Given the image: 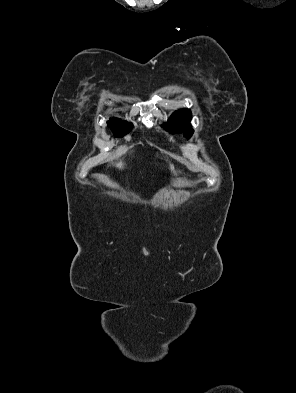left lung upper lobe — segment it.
I'll return each mask as SVG.
<instances>
[{"label": "left lung upper lobe", "mask_w": 296, "mask_h": 393, "mask_svg": "<svg viewBox=\"0 0 296 393\" xmlns=\"http://www.w3.org/2000/svg\"><path fill=\"white\" fill-rule=\"evenodd\" d=\"M191 111L189 109H181L172 114L165 127L171 133H184L186 138H190L193 134V129L190 124Z\"/></svg>", "instance_id": "5c2ea615"}]
</instances>
